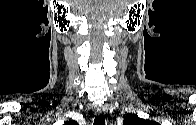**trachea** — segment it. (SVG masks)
<instances>
[{
    "mask_svg": "<svg viewBox=\"0 0 196 125\" xmlns=\"http://www.w3.org/2000/svg\"><path fill=\"white\" fill-rule=\"evenodd\" d=\"M94 125H105V118L102 115L96 116L94 119Z\"/></svg>",
    "mask_w": 196,
    "mask_h": 125,
    "instance_id": "1",
    "label": "trachea"
}]
</instances>
